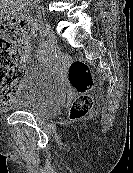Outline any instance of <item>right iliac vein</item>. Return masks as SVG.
<instances>
[{
    "mask_svg": "<svg viewBox=\"0 0 133 173\" xmlns=\"http://www.w3.org/2000/svg\"><path fill=\"white\" fill-rule=\"evenodd\" d=\"M45 32H46V36H47V41L48 43V51H52L56 48L57 45V41H56V36L52 30V28L46 23L45 24Z\"/></svg>",
    "mask_w": 133,
    "mask_h": 173,
    "instance_id": "1",
    "label": "right iliac vein"
}]
</instances>
